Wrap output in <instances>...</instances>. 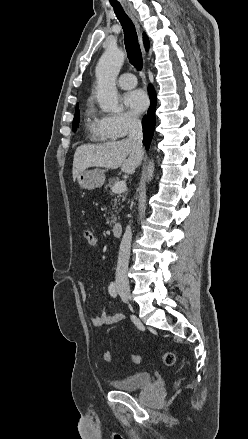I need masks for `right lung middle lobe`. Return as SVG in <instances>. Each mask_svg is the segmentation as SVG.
<instances>
[{
	"label": "right lung middle lobe",
	"instance_id": "1",
	"mask_svg": "<svg viewBox=\"0 0 248 439\" xmlns=\"http://www.w3.org/2000/svg\"><path fill=\"white\" fill-rule=\"evenodd\" d=\"M78 124H79V110L75 111V116L73 120V131H76Z\"/></svg>",
	"mask_w": 248,
	"mask_h": 439
}]
</instances>
